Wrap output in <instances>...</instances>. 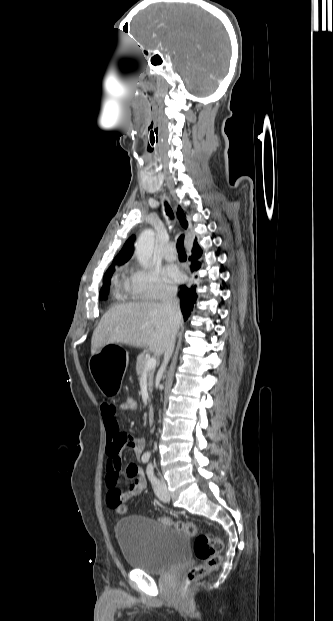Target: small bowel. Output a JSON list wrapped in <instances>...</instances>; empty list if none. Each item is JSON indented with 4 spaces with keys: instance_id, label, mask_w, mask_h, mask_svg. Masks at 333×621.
<instances>
[{
    "instance_id": "obj_1",
    "label": "small bowel",
    "mask_w": 333,
    "mask_h": 621,
    "mask_svg": "<svg viewBox=\"0 0 333 621\" xmlns=\"http://www.w3.org/2000/svg\"><path fill=\"white\" fill-rule=\"evenodd\" d=\"M104 427L107 434L106 453L107 475L106 482L108 487L107 505L115 509L120 503L138 496L146 487V479L142 469L134 462H128L124 467V474L130 481L124 490L119 487V479L122 474L121 451L129 448L133 451L137 459H140L145 441L141 437H131L120 431L116 419V407L108 402H103L100 406Z\"/></svg>"
}]
</instances>
